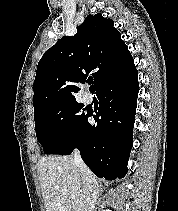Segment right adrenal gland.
<instances>
[{
  "label": "right adrenal gland",
  "mask_w": 178,
  "mask_h": 211,
  "mask_svg": "<svg viewBox=\"0 0 178 211\" xmlns=\"http://www.w3.org/2000/svg\"><path fill=\"white\" fill-rule=\"evenodd\" d=\"M101 192H103V186L102 184H97V198H99Z\"/></svg>",
  "instance_id": "right-adrenal-gland-1"
}]
</instances>
